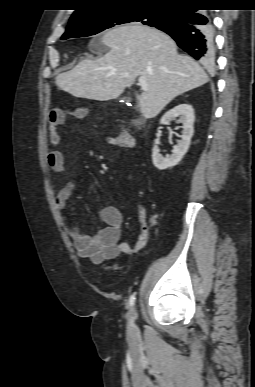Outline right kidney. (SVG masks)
<instances>
[{
  "label": "right kidney",
  "instance_id": "right-kidney-1",
  "mask_svg": "<svg viewBox=\"0 0 255 387\" xmlns=\"http://www.w3.org/2000/svg\"><path fill=\"white\" fill-rule=\"evenodd\" d=\"M177 117L178 123H182V135L181 140L178 141L177 145L173 148V153L170 156L163 157L160 154L159 149L154 146L152 151L153 164L159 170H164L169 167L177 165L186 154L190 141L194 133L193 124L195 120L194 110L191 105L180 104L173 109L166 112L160 120V124L169 125L171 121Z\"/></svg>",
  "mask_w": 255,
  "mask_h": 387
}]
</instances>
